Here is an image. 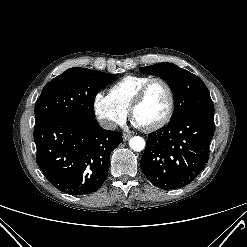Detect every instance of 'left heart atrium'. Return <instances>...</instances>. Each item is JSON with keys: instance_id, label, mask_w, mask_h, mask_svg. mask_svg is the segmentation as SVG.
<instances>
[{"instance_id": "39dd6f15", "label": "left heart atrium", "mask_w": 247, "mask_h": 247, "mask_svg": "<svg viewBox=\"0 0 247 247\" xmlns=\"http://www.w3.org/2000/svg\"><path fill=\"white\" fill-rule=\"evenodd\" d=\"M133 124H134L135 126H138V127L144 126V125H143L139 120H137L136 118H134Z\"/></svg>"}]
</instances>
